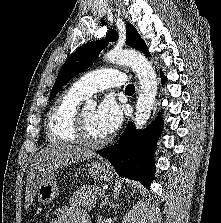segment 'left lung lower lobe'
Segmentation results:
<instances>
[{"instance_id": "left-lung-lower-lobe-1", "label": "left lung lower lobe", "mask_w": 221, "mask_h": 223, "mask_svg": "<svg viewBox=\"0 0 221 223\" xmlns=\"http://www.w3.org/2000/svg\"><path fill=\"white\" fill-rule=\"evenodd\" d=\"M161 81L162 83L166 81L163 74H161ZM161 131L160 117L145 131L137 130L130 122L117 143L98 150L97 153L108 159L119 176L138 180L148 188L155 171L154 145Z\"/></svg>"}]
</instances>
